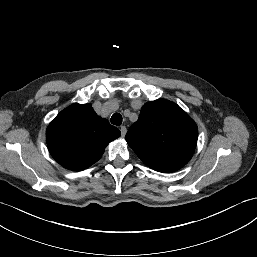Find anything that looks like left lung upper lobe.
<instances>
[{
  "instance_id": "obj_1",
  "label": "left lung upper lobe",
  "mask_w": 257,
  "mask_h": 257,
  "mask_svg": "<svg viewBox=\"0 0 257 257\" xmlns=\"http://www.w3.org/2000/svg\"><path fill=\"white\" fill-rule=\"evenodd\" d=\"M198 129L177 104L165 99L146 103L126 141L150 168L169 173L183 167L192 157Z\"/></svg>"
}]
</instances>
